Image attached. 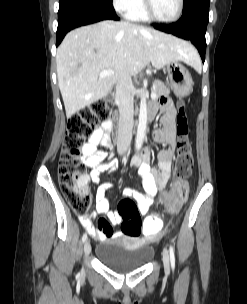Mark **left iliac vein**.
I'll return each instance as SVG.
<instances>
[{"instance_id":"4c4485c4","label":"left iliac vein","mask_w":247,"mask_h":304,"mask_svg":"<svg viewBox=\"0 0 247 304\" xmlns=\"http://www.w3.org/2000/svg\"><path fill=\"white\" fill-rule=\"evenodd\" d=\"M163 264H164V269L166 273H169L170 271V262H169V253L167 249L163 250Z\"/></svg>"}]
</instances>
